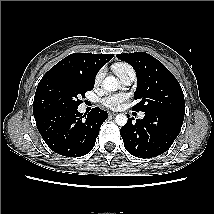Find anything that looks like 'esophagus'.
<instances>
[{"label":"esophagus","mask_w":214,"mask_h":214,"mask_svg":"<svg viewBox=\"0 0 214 214\" xmlns=\"http://www.w3.org/2000/svg\"><path fill=\"white\" fill-rule=\"evenodd\" d=\"M109 115H110V116H115L116 113H115V112H109Z\"/></svg>","instance_id":"esophagus-1"}]
</instances>
